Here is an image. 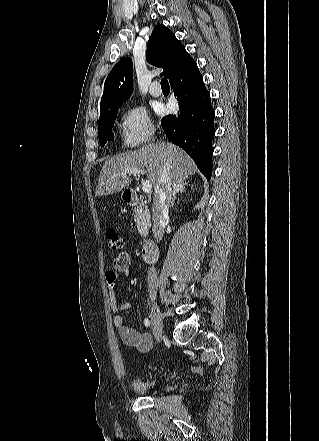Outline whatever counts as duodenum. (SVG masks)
I'll return each mask as SVG.
<instances>
[{
  "label": "duodenum",
  "instance_id": "410a0bca",
  "mask_svg": "<svg viewBox=\"0 0 319 441\" xmlns=\"http://www.w3.org/2000/svg\"><path fill=\"white\" fill-rule=\"evenodd\" d=\"M124 200L130 205H136L140 202L138 194L133 190L124 192ZM142 258L147 263H154L157 260V248L152 241H145L141 249Z\"/></svg>",
  "mask_w": 319,
  "mask_h": 441
}]
</instances>
